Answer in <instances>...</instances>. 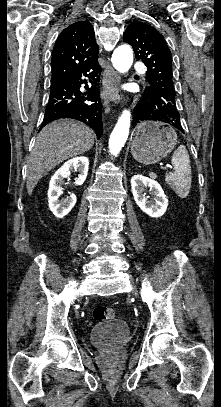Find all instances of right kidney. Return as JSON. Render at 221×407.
Listing matches in <instances>:
<instances>
[{
    "mask_svg": "<svg viewBox=\"0 0 221 407\" xmlns=\"http://www.w3.org/2000/svg\"><path fill=\"white\" fill-rule=\"evenodd\" d=\"M88 167V158L79 156L68 160L52 176L49 182L48 203L51 212L57 218H63L66 216L76 203V196L74 194H70L69 198L66 200H59L61 185L63 184L64 179L74 170L79 172L78 177L75 179V185H82L87 177Z\"/></svg>",
    "mask_w": 221,
    "mask_h": 407,
    "instance_id": "ca27d5eb",
    "label": "right kidney"
}]
</instances>
